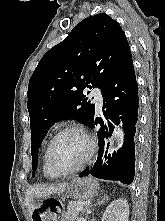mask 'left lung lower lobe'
<instances>
[{"instance_id":"obj_1","label":"left lung lower lobe","mask_w":165,"mask_h":221,"mask_svg":"<svg viewBox=\"0 0 165 221\" xmlns=\"http://www.w3.org/2000/svg\"><path fill=\"white\" fill-rule=\"evenodd\" d=\"M101 91L104 99L102 108L104 120L93 119L89 124L90 127H94L97 123L101 125L97 132L100 146L99 156L94 167L84 170L80 176L92 175L100 179L131 184L135 173L134 136L139 105L138 86L131 55L126 58L120 69ZM120 119L125 129L123 147L117 153L114 152L112 157L108 155V158L102 163L104 146L107 145L108 149L109 139ZM106 154L107 151L105 158Z\"/></svg>"}]
</instances>
